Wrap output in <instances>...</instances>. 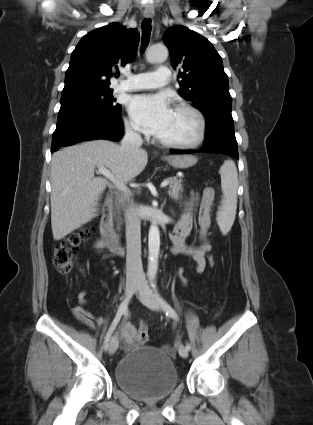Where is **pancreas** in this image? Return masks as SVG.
<instances>
[{"label":"pancreas","instance_id":"obj_1","mask_svg":"<svg viewBox=\"0 0 313 425\" xmlns=\"http://www.w3.org/2000/svg\"><path fill=\"white\" fill-rule=\"evenodd\" d=\"M167 180L169 181V190H168L169 196L174 200H178L182 198V195H181V193L183 192L182 180L177 179L176 177H170ZM124 201H125V198L123 197L118 199V202L116 204L118 209H120Z\"/></svg>","mask_w":313,"mask_h":425}]
</instances>
